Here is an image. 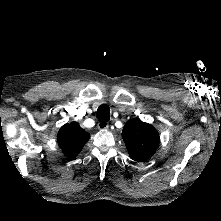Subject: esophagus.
Here are the masks:
<instances>
[{
    "label": "esophagus",
    "instance_id": "esophagus-1",
    "mask_svg": "<svg viewBox=\"0 0 221 221\" xmlns=\"http://www.w3.org/2000/svg\"><path fill=\"white\" fill-rule=\"evenodd\" d=\"M97 128L99 130H107L109 128V124L107 122H99L97 124Z\"/></svg>",
    "mask_w": 221,
    "mask_h": 221
}]
</instances>
